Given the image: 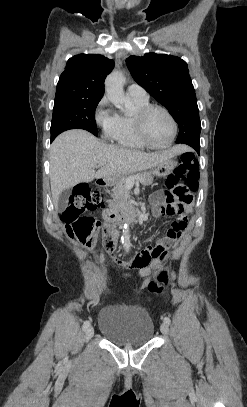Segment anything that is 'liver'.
<instances>
[{"label":"liver","mask_w":247,"mask_h":407,"mask_svg":"<svg viewBox=\"0 0 247 407\" xmlns=\"http://www.w3.org/2000/svg\"><path fill=\"white\" fill-rule=\"evenodd\" d=\"M187 149L177 145L169 150L145 153L107 145L85 130L66 131L54 140L50 149L53 204L57 208L61 192L79 183L151 169ZM101 163L104 165L100 166ZM98 167L101 168L96 172Z\"/></svg>","instance_id":"1"}]
</instances>
